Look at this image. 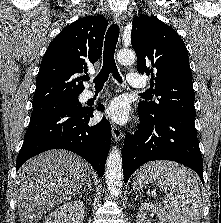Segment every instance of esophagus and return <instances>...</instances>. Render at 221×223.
I'll use <instances>...</instances> for the list:
<instances>
[{
  "label": "esophagus",
  "mask_w": 221,
  "mask_h": 223,
  "mask_svg": "<svg viewBox=\"0 0 221 223\" xmlns=\"http://www.w3.org/2000/svg\"><path fill=\"white\" fill-rule=\"evenodd\" d=\"M113 20L119 26L120 31H122L125 23L124 16L116 15L114 16ZM111 128H112V135L115 141L117 142L120 141L123 138V133L121 129L116 124H112Z\"/></svg>",
  "instance_id": "1"
}]
</instances>
